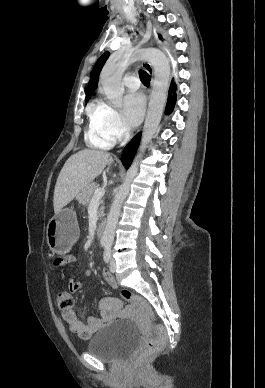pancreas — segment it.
<instances>
[{
    "label": "pancreas",
    "mask_w": 265,
    "mask_h": 388,
    "mask_svg": "<svg viewBox=\"0 0 265 388\" xmlns=\"http://www.w3.org/2000/svg\"><path fill=\"white\" fill-rule=\"evenodd\" d=\"M97 188H99V184H97V182H92V184H88V186H85V188H82V190H80V194L76 196V200H78L79 204H82V206H88ZM102 216H104V206H100L98 210V218H102Z\"/></svg>",
    "instance_id": "cf45deb5"
}]
</instances>
